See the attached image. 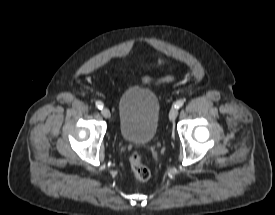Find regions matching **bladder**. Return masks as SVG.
I'll use <instances>...</instances> for the list:
<instances>
[{
  "instance_id": "1",
  "label": "bladder",
  "mask_w": 275,
  "mask_h": 215,
  "mask_svg": "<svg viewBox=\"0 0 275 215\" xmlns=\"http://www.w3.org/2000/svg\"><path fill=\"white\" fill-rule=\"evenodd\" d=\"M160 115L156 94L145 88H127L118 100L121 138L130 144L147 145L155 138Z\"/></svg>"
}]
</instances>
